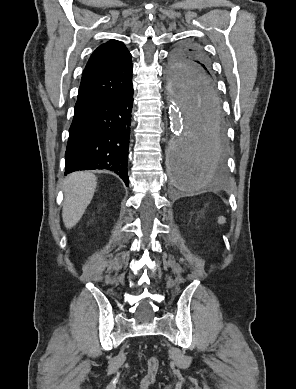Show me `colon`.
<instances>
[{
    "instance_id": "1",
    "label": "colon",
    "mask_w": 296,
    "mask_h": 389,
    "mask_svg": "<svg viewBox=\"0 0 296 389\" xmlns=\"http://www.w3.org/2000/svg\"><path fill=\"white\" fill-rule=\"evenodd\" d=\"M147 366V373L142 382L144 388H147L154 381L159 367L158 359L156 357H149L147 359Z\"/></svg>"
}]
</instances>
